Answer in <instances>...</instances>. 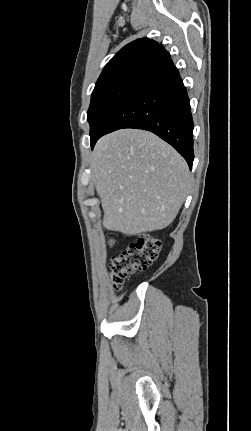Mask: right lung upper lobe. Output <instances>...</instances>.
<instances>
[{"mask_svg": "<svg viewBox=\"0 0 251 431\" xmlns=\"http://www.w3.org/2000/svg\"><path fill=\"white\" fill-rule=\"evenodd\" d=\"M162 45L149 38L137 39L125 45L104 67L98 81L103 80L109 74L125 65L135 62L149 63L153 56L163 49ZM97 81V82H98Z\"/></svg>", "mask_w": 251, "mask_h": 431, "instance_id": "1", "label": "right lung upper lobe"}]
</instances>
